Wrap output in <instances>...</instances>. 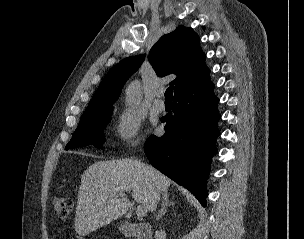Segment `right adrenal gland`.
I'll list each match as a JSON object with an SVG mask.
<instances>
[{"mask_svg":"<svg viewBox=\"0 0 304 239\" xmlns=\"http://www.w3.org/2000/svg\"><path fill=\"white\" fill-rule=\"evenodd\" d=\"M172 205H174V203L169 201V194H168L167 191H165L163 193V200H162L161 209L158 213V216L156 217V220L157 221L160 220L162 218V216L165 215L167 207L172 206Z\"/></svg>","mask_w":304,"mask_h":239,"instance_id":"right-adrenal-gland-1","label":"right adrenal gland"}]
</instances>
